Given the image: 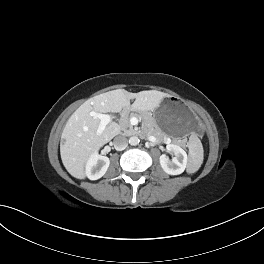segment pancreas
<instances>
[{
	"label": "pancreas",
	"mask_w": 264,
	"mask_h": 264,
	"mask_svg": "<svg viewBox=\"0 0 264 264\" xmlns=\"http://www.w3.org/2000/svg\"><path fill=\"white\" fill-rule=\"evenodd\" d=\"M131 117H142V115L135 113V112H129V111H125L123 113V116L120 121V126H121V130L124 131V134H127V135L135 133V129L130 124ZM146 123L148 126V131H147L148 135H153L160 140L164 138L161 130L157 127L154 121L149 120V121H146Z\"/></svg>",
	"instance_id": "cf45deb5"
}]
</instances>
